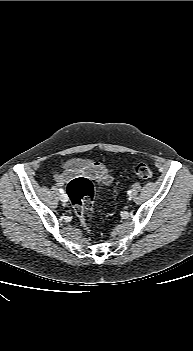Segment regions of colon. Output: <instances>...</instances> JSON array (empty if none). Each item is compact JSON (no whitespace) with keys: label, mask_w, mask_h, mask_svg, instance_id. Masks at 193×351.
<instances>
[{"label":"colon","mask_w":193,"mask_h":351,"mask_svg":"<svg viewBox=\"0 0 193 351\" xmlns=\"http://www.w3.org/2000/svg\"><path fill=\"white\" fill-rule=\"evenodd\" d=\"M135 176L141 179H150L153 172L145 163H138L133 167ZM67 193L73 206V210L84 226L87 221L93 218V194L94 186L86 177H75L71 179L67 185Z\"/></svg>","instance_id":"5ec220e1"}]
</instances>
